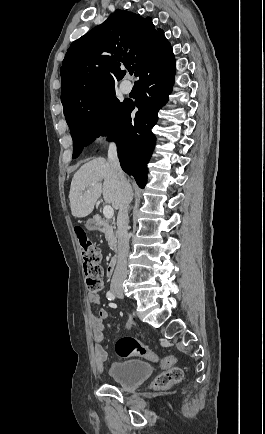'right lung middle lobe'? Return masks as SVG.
Listing matches in <instances>:
<instances>
[{
	"label": "right lung middle lobe",
	"mask_w": 265,
	"mask_h": 434,
	"mask_svg": "<svg viewBox=\"0 0 265 434\" xmlns=\"http://www.w3.org/2000/svg\"><path fill=\"white\" fill-rule=\"evenodd\" d=\"M131 101L115 97V84L62 102L66 121L73 139V158L96 137L112 133L122 122ZM104 124L106 131L99 127Z\"/></svg>",
	"instance_id": "1"
}]
</instances>
